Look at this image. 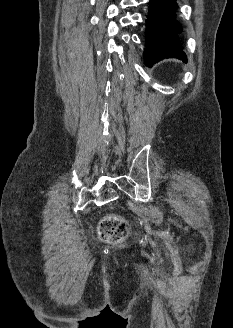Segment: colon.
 Segmentation results:
<instances>
[{
    "mask_svg": "<svg viewBox=\"0 0 233 328\" xmlns=\"http://www.w3.org/2000/svg\"><path fill=\"white\" fill-rule=\"evenodd\" d=\"M99 234L107 242L120 240L127 234L126 222L117 215L106 216L100 222Z\"/></svg>",
    "mask_w": 233,
    "mask_h": 328,
    "instance_id": "1",
    "label": "colon"
}]
</instances>
